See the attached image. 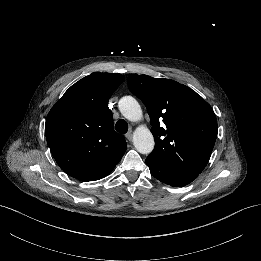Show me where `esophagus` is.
<instances>
[{
	"mask_svg": "<svg viewBox=\"0 0 261 261\" xmlns=\"http://www.w3.org/2000/svg\"><path fill=\"white\" fill-rule=\"evenodd\" d=\"M125 137H126V139H128V141H132L133 134L131 132H128V133L125 134Z\"/></svg>",
	"mask_w": 261,
	"mask_h": 261,
	"instance_id": "esophagus-1",
	"label": "esophagus"
}]
</instances>
